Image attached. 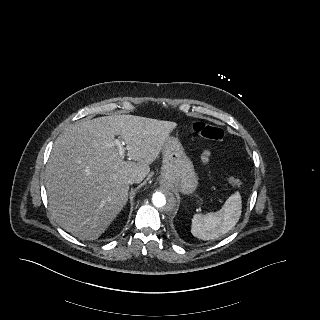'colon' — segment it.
I'll list each match as a JSON object with an SVG mask.
<instances>
[{
	"label": "colon",
	"instance_id": "obj_1",
	"mask_svg": "<svg viewBox=\"0 0 320 320\" xmlns=\"http://www.w3.org/2000/svg\"><path fill=\"white\" fill-rule=\"evenodd\" d=\"M193 130L198 136L209 139L214 142H219L224 137V132L220 127H217L204 121L195 122L193 124ZM228 182L232 186H240L242 183L239 178L233 176L228 178Z\"/></svg>",
	"mask_w": 320,
	"mask_h": 320
}]
</instances>
